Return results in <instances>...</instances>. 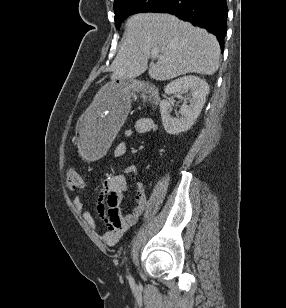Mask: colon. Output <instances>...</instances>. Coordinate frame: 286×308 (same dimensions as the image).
<instances>
[{
	"mask_svg": "<svg viewBox=\"0 0 286 308\" xmlns=\"http://www.w3.org/2000/svg\"><path fill=\"white\" fill-rule=\"evenodd\" d=\"M66 184L70 189H79L84 186V180L80 173L73 168L66 170Z\"/></svg>",
	"mask_w": 286,
	"mask_h": 308,
	"instance_id": "5ec220e1",
	"label": "colon"
}]
</instances>
